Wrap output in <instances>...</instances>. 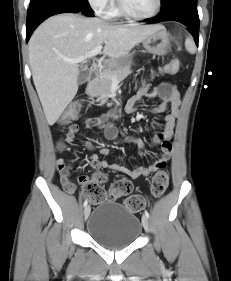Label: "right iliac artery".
Listing matches in <instances>:
<instances>
[{
    "instance_id": "1",
    "label": "right iliac artery",
    "mask_w": 231,
    "mask_h": 281,
    "mask_svg": "<svg viewBox=\"0 0 231 281\" xmlns=\"http://www.w3.org/2000/svg\"><path fill=\"white\" fill-rule=\"evenodd\" d=\"M87 204H88V201H87V200H85V201H84L83 206H84V207H86V206H87Z\"/></svg>"
}]
</instances>
